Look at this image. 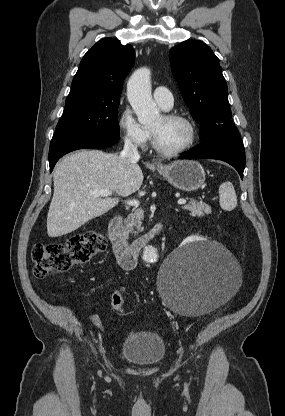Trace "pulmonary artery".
Returning <instances> with one entry per match:
<instances>
[{
    "mask_svg": "<svg viewBox=\"0 0 285 416\" xmlns=\"http://www.w3.org/2000/svg\"><path fill=\"white\" fill-rule=\"evenodd\" d=\"M154 98L164 110H168L173 105L175 95L171 93L170 87H157L154 91Z\"/></svg>",
    "mask_w": 285,
    "mask_h": 416,
    "instance_id": "obj_1",
    "label": "pulmonary artery"
}]
</instances>
